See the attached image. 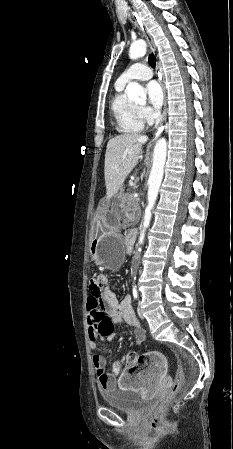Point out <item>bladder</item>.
Returning <instances> with one entry per match:
<instances>
[{"label": "bladder", "instance_id": "31cf9c89", "mask_svg": "<svg viewBox=\"0 0 233 449\" xmlns=\"http://www.w3.org/2000/svg\"><path fill=\"white\" fill-rule=\"evenodd\" d=\"M101 393L107 405L126 413L146 410L153 404L152 400L138 398L132 389L110 388L102 390Z\"/></svg>", "mask_w": 233, "mask_h": 449}]
</instances>
